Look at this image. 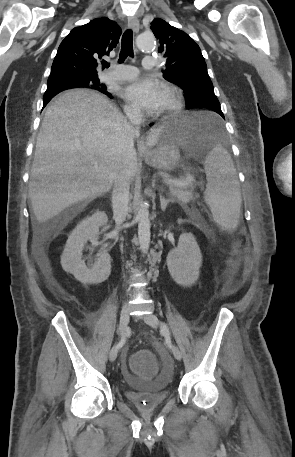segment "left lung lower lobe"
I'll return each instance as SVG.
<instances>
[{"mask_svg":"<svg viewBox=\"0 0 295 457\" xmlns=\"http://www.w3.org/2000/svg\"><path fill=\"white\" fill-rule=\"evenodd\" d=\"M191 108H207V109L215 111L216 113H218L219 115H221L224 118V115L221 111L220 103L217 100H213V99L199 100V101L194 102L192 105L188 106V109H191ZM207 127L210 132L213 133L215 131V128L212 123H208Z\"/></svg>","mask_w":295,"mask_h":457,"instance_id":"left-lung-lower-lobe-1","label":"left lung lower lobe"}]
</instances>
